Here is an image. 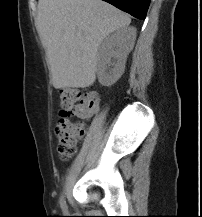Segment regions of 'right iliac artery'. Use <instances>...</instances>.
Returning a JSON list of instances; mask_svg holds the SVG:
<instances>
[{"label":"right iliac artery","instance_id":"82829eb1","mask_svg":"<svg viewBox=\"0 0 202 217\" xmlns=\"http://www.w3.org/2000/svg\"><path fill=\"white\" fill-rule=\"evenodd\" d=\"M60 206H61V208H62V210L64 212L67 211V205H66V202H65L64 194L61 195Z\"/></svg>","mask_w":202,"mask_h":217}]
</instances>
